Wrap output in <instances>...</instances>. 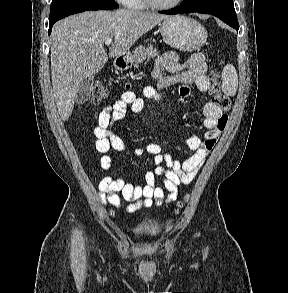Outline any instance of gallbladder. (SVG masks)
<instances>
[{
	"mask_svg": "<svg viewBox=\"0 0 288 293\" xmlns=\"http://www.w3.org/2000/svg\"><path fill=\"white\" fill-rule=\"evenodd\" d=\"M93 82H94V76H90L81 82L78 93H77V97H76L77 104H83L88 100L91 93Z\"/></svg>",
	"mask_w": 288,
	"mask_h": 293,
	"instance_id": "bac80fb5",
	"label": "gallbladder"
}]
</instances>
